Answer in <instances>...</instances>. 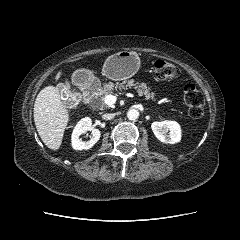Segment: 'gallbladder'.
<instances>
[{
    "instance_id": "gallbladder-1",
    "label": "gallbladder",
    "mask_w": 240,
    "mask_h": 240,
    "mask_svg": "<svg viewBox=\"0 0 240 240\" xmlns=\"http://www.w3.org/2000/svg\"><path fill=\"white\" fill-rule=\"evenodd\" d=\"M64 87H65V86H64V84H62V83L57 84V86H56V88H57V90H58L59 92L62 91V89H63ZM62 103H63L64 106H69V105L71 104V98L69 97V98L65 99L64 101H62Z\"/></svg>"
}]
</instances>
